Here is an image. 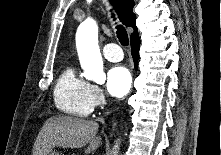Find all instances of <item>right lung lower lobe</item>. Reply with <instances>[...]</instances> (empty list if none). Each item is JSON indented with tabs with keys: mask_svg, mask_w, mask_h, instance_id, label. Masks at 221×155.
<instances>
[{
	"mask_svg": "<svg viewBox=\"0 0 221 155\" xmlns=\"http://www.w3.org/2000/svg\"><path fill=\"white\" fill-rule=\"evenodd\" d=\"M139 43L140 39L138 33L131 37V52L135 63V68L137 69L138 57H139Z\"/></svg>",
	"mask_w": 221,
	"mask_h": 155,
	"instance_id": "right-lung-lower-lobe-1",
	"label": "right lung lower lobe"
}]
</instances>
